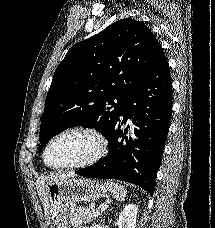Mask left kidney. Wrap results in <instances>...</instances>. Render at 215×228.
Listing matches in <instances>:
<instances>
[{"label": "left kidney", "instance_id": "obj_1", "mask_svg": "<svg viewBox=\"0 0 215 228\" xmlns=\"http://www.w3.org/2000/svg\"><path fill=\"white\" fill-rule=\"evenodd\" d=\"M137 216L138 206L136 204H128L117 220L118 228H136Z\"/></svg>", "mask_w": 215, "mask_h": 228}]
</instances>
